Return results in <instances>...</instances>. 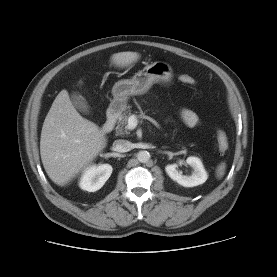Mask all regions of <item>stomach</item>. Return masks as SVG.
Wrapping results in <instances>:
<instances>
[{"mask_svg":"<svg viewBox=\"0 0 277 277\" xmlns=\"http://www.w3.org/2000/svg\"><path fill=\"white\" fill-rule=\"evenodd\" d=\"M173 70L165 62H154L145 66L131 79H123L115 83L112 89L113 100L110 104L115 112L126 109L130 96L146 93L154 83H168L172 80Z\"/></svg>","mask_w":277,"mask_h":277,"instance_id":"obj_1","label":"stomach"}]
</instances>
